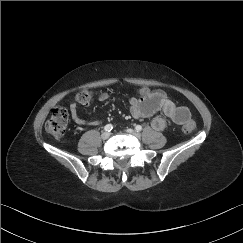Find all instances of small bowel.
Here are the masks:
<instances>
[{"instance_id": "obj_1", "label": "small bowel", "mask_w": 243, "mask_h": 243, "mask_svg": "<svg viewBox=\"0 0 243 243\" xmlns=\"http://www.w3.org/2000/svg\"><path fill=\"white\" fill-rule=\"evenodd\" d=\"M139 98H131L129 101L130 112L136 119H145L154 115L158 111H162L164 116L155 117L152 121V127L156 131H162L170 120L177 125H183L191 118L188 107L179 106L163 91H150L148 88H141ZM110 93L104 92L99 95L98 100L103 102L109 99ZM70 113L72 120L77 125H86L87 121L82 119L78 113L76 103L70 105ZM101 120L89 122L91 125H99Z\"/></svg>"}]
</instances>
